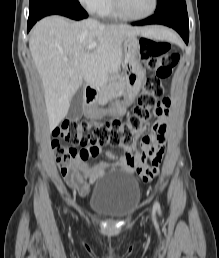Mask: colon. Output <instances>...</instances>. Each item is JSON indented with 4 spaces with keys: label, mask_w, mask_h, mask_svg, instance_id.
Masks as SVG:
<instances>
[{
    "label": "colon",
    "mask_w": 219,
    "mask_h": 258,
    "mask_svg": "<svg viewBox=\"0 0 219 258\" xmlns=\"http://www.w3.org/2000/svg\"><path fill=\"white\" fill-rule=\"evenodd\" d=\"M141 58L153 75L146 79L132 112L125 120L96 122L64 121L53 131L56 139L52 143L54 156L63 175L69 171L71 163L81 155L95 156L102 146L127 144L141 134L150 119L154 117V107L164 95L163 80L170 77L179 61V55L171 51L167 42L142 39ZM63 140L67 145L60 143ZM89 147L88 151H78L75 147Z\"/></svg>",
    "instance_id": "1"
}]
</instances>
